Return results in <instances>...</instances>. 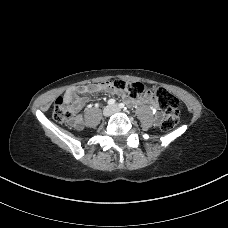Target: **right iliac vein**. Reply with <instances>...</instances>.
<instances>
[{"label": "right iliac vein", "instance_id": "obj_1", "mask_svg": "<svg viewBox=\"0 0 228 228\" xmlns=\"http://www.w3.org/2000/svg\"><path fill=\"white\" fill-rule=\"evenodd\" d=\"M112 114V107L111 106H106L103 109V116L109 117Z\"/></svg>", "mask_w": 228, "mask_h": 228}]
</instances>
